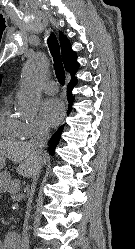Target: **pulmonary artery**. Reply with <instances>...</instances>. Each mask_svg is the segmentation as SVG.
Here are the masks:
<instances>
[{
	"mask_svg": "<svg viewBox=\"0 0 135 249\" xmlns=\"http://www.w3.org/2000/svg\"><path fill=\"white\" fill-rule=\"evenodd\" d=\"M59 88L55 81H48L43 85V91L46 94H56L58 92Z\"/></svg>",
	"mask_w": 135,
	"mask_h": 249,
	"instance_id": "pulmonary-artery-1",
	"label": "pulmonary artery"
}]
</instances>
